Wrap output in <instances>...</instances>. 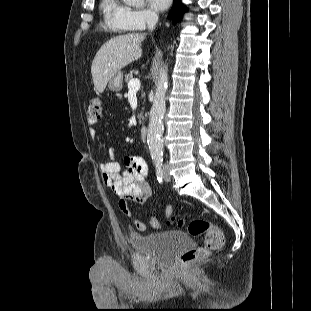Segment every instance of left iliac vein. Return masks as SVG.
<instances>
[{"instance_id": "4c4485c4", "label": "left iliac vein", "mask_w": 311, "mask_h": 311, "mask_svg": "<svg viewBox=\"0 0 311 311\" xmlns=\"http://www.w3.org/2000/svg\"><path fill=\"white\" fill-rule=\"evenodd\" d=\"M163 171H164V180L165 181H169L170 180V173H169V167L168 166H164L163 167Z\"/></svg>"}]
</instances>
